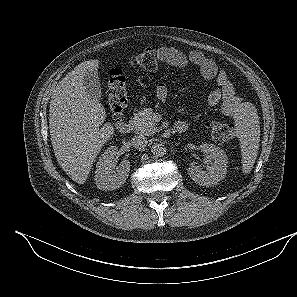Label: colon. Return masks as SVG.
Wrapping results in <instances>:
<instances>
[{"label":"colon","instance_id":"obj_1","mask_svg":"<svg viewBox=\"0 0 297 297\" xmlns=\"http://www.w3.org/2000/svg\"><path fill=\"white\" fill-rule=\"evenodd\" d=\"M131 63L137 68L151 72L156 71L159 65L157 53L153 49L134 54ZM107 89L111 114L116 121H119L128 102L126 79L120 69L114 68L110 71ZM211 135L219 143H228L235 138V128L232 124L215 121L211 125Z\"/></svg>","mask_w":297,"mask_h":297}]
</instances>
